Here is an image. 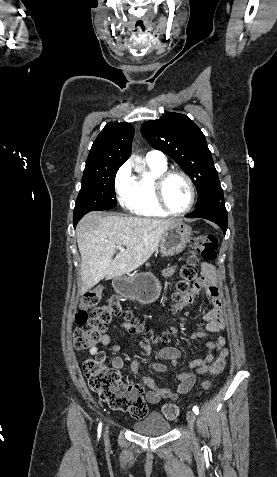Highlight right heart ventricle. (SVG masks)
<instances>
[{
	"instance_id": "e07e8e85",
	"label": "right heart ventricle",
	"mask_w": 277,
	"mask_h": 477,
	"mask_svg": "<svg viewBox=\"0 0 277 477\" xmlns=\"http://www.w3.org/2000/svg\"><path fill=\"white\" fill-rule=\"evenodd\" d=\"M148 170L133 179L131 195L126 207L142 217H166L168 214L158 205L154 193V181L158 174L167 170L166 164L146 161Z\"/></svg>"
}]
</instances>
